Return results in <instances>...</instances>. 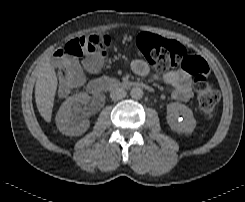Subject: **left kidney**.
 <instances>
[{
  "label": "left kidney",
  "mask_w": 245,
  "mask_h": 202,
  "mask_svg": "<svg viewBox=\"0 0 245 202\" xmlns=\"http://www.w3.org/2000/svg\"><path fill=\"white\" fill-rule=\"evenodd\" d=\"M182 117H179V116ZM167 123L178 133H192L196 127L193 112L186 105L174 102L167 105Z\"/></svg>",
  "instance_id": "5707ae66"
}]
</instances>
